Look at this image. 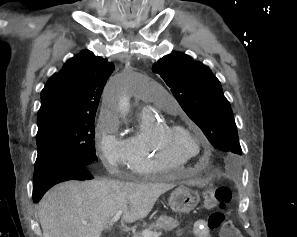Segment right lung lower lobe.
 I'll return each instance as SVG.
<instances>
[{"instance_id": "1", "label": "right lung lower lobe", "mask_w": 297, "mask_h": 237, "mask_svg": "<svg viewBox=\"0 0 297 237\" xmlns=\"http://www.w3.org/2000/svg\"><path fill=\"white\" fill-rule=\"evenodd\" d=\"M93 176L89 173L86 167L82 165H68L60 167L52 173L49 182L41 187L34 188L33 186V200L38 201L43 195L54 185L68 181V180H89Z\"/></svg>"}]
</instances>
